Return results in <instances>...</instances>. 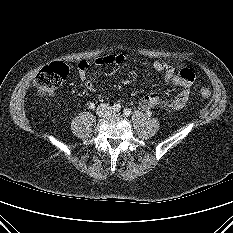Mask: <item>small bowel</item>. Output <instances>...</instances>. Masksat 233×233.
<instances>
[{
	"instance_id": "obj_1",
	"label": "small bowel",
	"mask_w": 233,
	"mask_h": 233,
	"mask_svg": "<svg viewBox=\"0 0 233 233\" xmlns=\"http://www.w3.org/2000/svg\"><path fill=\"white\" fill-rule=\"evenodd\" d=\"M124 61L125 56L123 54L116 53L99 57L92 64L81 62L79 64L81 77L85 78L86 72L93 67H101L110 64L119 65ZM152 68L155 72L163 75V79L166 83L180 86L182 89L170 100L163 99L156 93H149L140 100V107L147 112H150L158 107L172 111L182 108L188 99L189 88L195 80V75L187 68L175 69L160 61L153 62ZM186 74H191L192 77H188ZM85 86L90 91L95 89V85L90 79L85 81Z\"/></svg>"
}]
</instances>
